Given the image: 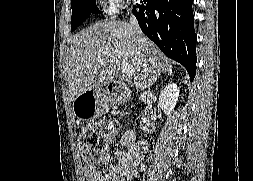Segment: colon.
Wrapping results in <instances>:
<instances>
[{
  "label": "colon",
  "instance_id": "obj_1",
  "mask_svg": "<svg viewBox=\"0 0 253 181\" xmlns=\"http://www.w3.org/2000/svg\"><path fill=\"white\" fill-rule=\"evenodd\" d=\"M112 126L107 121H101L82 129L80 133V148L85 163L95 165L109 146Z\"/></svg>",
  "mask_w": 253,
  "mask_h": 181
}]
</instances>
